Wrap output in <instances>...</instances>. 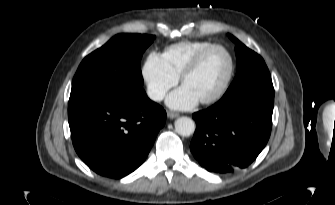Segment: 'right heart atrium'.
Instances as JSON below:
<instances>
[{"label":"right heart atrium","instance_id":"d8ad5b80","mask_svg":"<svg viewBox=\"0 0 335 205\" xmlns=\"http://www.w3.org/2000/svg\"><path fill=\"white\" fill-rule=\"evenodd\" d=\"M141 76L149 98L154 101L162 100L179 80V77L168 68L162 56L156 52L150 53L145 59Z\"/></svg>","mask_w":335,"mask_h":205}]
</instances>
